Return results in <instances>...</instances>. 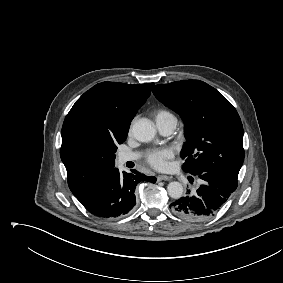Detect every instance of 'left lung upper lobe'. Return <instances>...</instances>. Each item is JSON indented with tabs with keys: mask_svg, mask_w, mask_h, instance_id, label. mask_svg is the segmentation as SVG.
I'll list each match as a JSON object with an SVG mask.
<instances>
[{
	"mask_svg": "<svg viewBox=\"0 0 283 283\" xmlns=\"http://www.w3.org/2000/svg\"><path fill=\"white\" fill-rule=\"evenodd\" d=\"M153 93L184 121V171L192 175L214 172L237 179L244 161L243 126L232 104L199 80L159 84Z\"/></svg>",
	"mask_w": 283,
	"mask_h": 283,
	"instance_id": "5c2ea615",
	"label": "left lung upper lobe"
}]
</instances>
